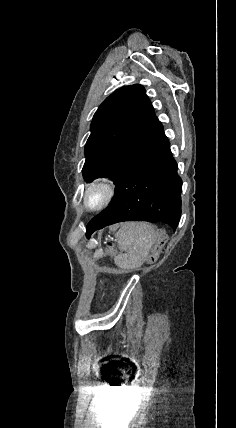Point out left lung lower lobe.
I'll list each match as a JSON object with an SVG mask.
<instances>
[{
    "instance_id": "0a47b994",
    "label": "left lung lower lobe",
    "mask_w": 236,
    "mask_h": 428,
    "mask_svg": "<svg viewBox=\"0 0 236 428\" xmlns=\"http://www.w3.org/2000/svg\"><path fill=\"white\" fill-rule=\"evenodd\" d=\"M182 180L158 122L115 187L110 205L86 227V236L123 221L162 222L174 231L181 216Z\"/></svg>"
}]
</instances>
